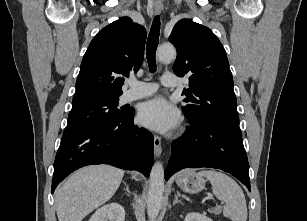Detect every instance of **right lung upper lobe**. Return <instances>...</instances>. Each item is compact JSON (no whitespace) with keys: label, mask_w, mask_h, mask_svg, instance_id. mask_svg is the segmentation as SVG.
<instances>
[{"label":"right lung upper lobe","mask_w":307,"mask_h":221,"mask_svg":"<svg viewBox=\"0 0 307 221\" xmlns=\"http://www.w3.org/2000/svg\"><path fill=\"white\" fill-rule=\"evenodd\" d=\"M146 30L129 17L104 27L91 41L81 63L73 103L116 98L124 78L142 64Z\"/></svg>","instance_id":"obj_1"}]
</instances>
